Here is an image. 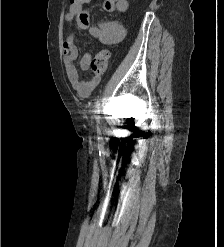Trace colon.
<instances>
[{"label":"colon","instance_id":"obj_1","mask_svg":"<svg viewBox=\"0 0 224 247\" xmlns=\"http://www.w3.org/2000/svg\"><path fill=\"white\" fill-rule=\"evenodd\" d=\"M70 6L81 7L85 5V0H69ZM109 52L101 50L91 61L90 69L95 75H101L106 70L109 63Z\"/></svg>","mask_w":224,"mask_h":247}]
</instances>
